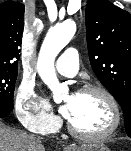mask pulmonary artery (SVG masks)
I'll return each mask as SVG.
<instances>
[{
    "label": "pulmonary artery",
    "mask_w": 131,
    "mask_h": 151,
    "mask_svg": "<svg viewBox=\"0 0 131 151\" xmlns=\"http://www.w3.org/2000/svg\"><path fill=\"white\" fill-rule=\"evenodd\" d=\"M56 70L68 77L74 76L79 68L78 53L73 47L68 48L56 61Z\"/></svg>",
    "instance_id": "pulmonary-artery-1"
}]
</instances>
